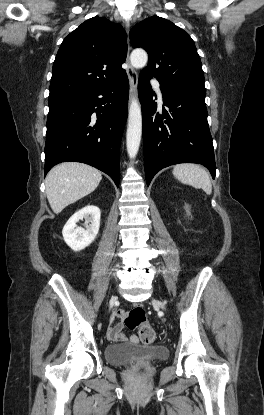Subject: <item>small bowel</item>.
I'll return each mask as SVG.
<instances>
[{
	"label": "small bowel",
	"instance_id": "c3829d8e",
	"mask_svg": "<svg viewBox=\"0 0 264 415\" xmlns=\"http://www.w3.org/2000/svg\"><path fill=\"white\" fill-rule=\"evenodd\" d=\"M124 317V311H118L112 318L111 324L107 329L106 336L110 343H122L126 342L128 339L123 334L124 325L122 323V318ZM130 341L133 343H138L139 339L137 336L133 335L130 337Z\"/></svg>",
	"mask_w": 264,
	"mask_h": 415
}]
</instances>
